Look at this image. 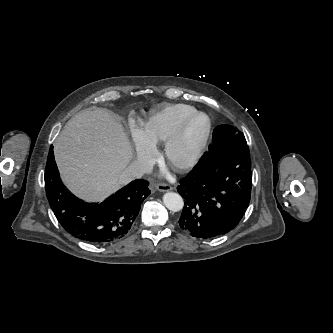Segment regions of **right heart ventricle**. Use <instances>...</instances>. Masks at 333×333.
Returning <instances> with one entry per match:
<instances>
[{
    "mask_svg": "<svg viewBox=\"0 0 333 333\" xmlns=\"http://www.w3.org/2000/svg\"><path fill=\"white\" fill-rule=\"evenodd\" d=\"M195 111V107L183 103L159 107L142 125L141 131L145 140L153 147L167 142L181 121Z\"/></svg>",
    "mask_w": 333,
    "mask_h": 333,
    "instance_id": "obj_1",
    "label": "right heart ventricle"
}]
</instances>
